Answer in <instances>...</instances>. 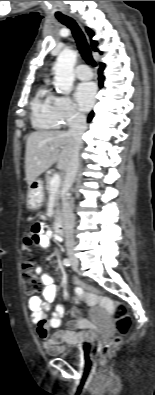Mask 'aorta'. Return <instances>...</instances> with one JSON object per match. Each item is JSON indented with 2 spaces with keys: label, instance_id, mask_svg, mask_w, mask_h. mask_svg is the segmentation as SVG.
<instances>
[{
  "label": "aorta",
  "instance_id": "obj_1",
  "mask_svg": "<svg viewBox=\"0 0 155 395\" xmlns=\"http://www.w3.org/2000/svg\"><path fill=\"white\" fill-rule=\"evenodd\" d=\"M77 54L74 50L64 48L57 57L53 67L55 73L54 86L58 93L69 94L75 79L74 65Z\"/></svg>",
  "mask_w": 155,
  "mask_h": 395
}]
</instances>
